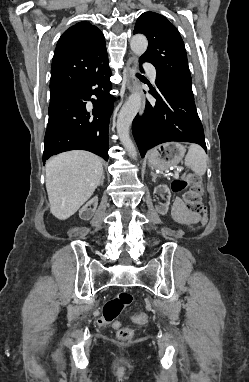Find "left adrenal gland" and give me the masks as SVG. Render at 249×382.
Returning <instances> with one entry per match:
<instances>
[{
    "mask_svg": "<svg viewBox=\"0 0 249 382\" xmlns=\"http://www.w3.org/2000/svg\"><path fill=\"white\" fill-rule=\"evenodd\" d=\"M151 175H152V181L155 182L157 175L153 171H151Z\"/></svg>",
    "mask_w": 249,
    "mask_h": 382,
    "instance_id": "left-adrenal-gland-1",
    "label": "left adrenal gland"
}]
</instances>
